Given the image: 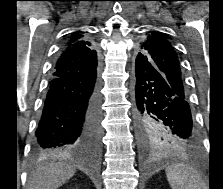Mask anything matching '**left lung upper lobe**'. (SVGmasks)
<instances>
[{"instance_id": "left-lung-upper-lobe-1", "label": "left lung upper lobe", "mask_w": 223, "mask_h": 189, "mask_svg": "<svg viewBox=\"0 0 223 189\" xmlns=\"http://www.w3.org/2000/svg\"><path fill=\"white\" fill-rule=\"evenodd\" d=\"M136 60H141L156 68L170 84L179 88L187 97L180 62L177 54L169 41L158 33H150L140 43V49ZM141 141L153 147L169 149H189L181 144L168 132L159 126H149L139 132Z\"/></svg>"}]
</instances>
